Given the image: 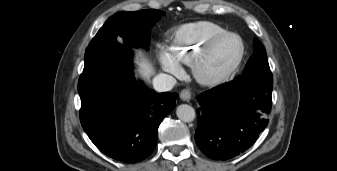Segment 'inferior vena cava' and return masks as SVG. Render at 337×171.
<instances>
[{"label":"inferior vena cava","instance_id":"1","mask_svg":"<svg viewBox=\"0 0 337 171\" xmlns=\"http://www.w3.org/2000/svg\"><path fill=\"white\" fill-rule=\"evenodd\" d=\"M176 84V79L168 74L160 73L153 79V87L157 92L170 91Z\"/></svg>","mask_w":337,"mask_h":171}]
</instances>
